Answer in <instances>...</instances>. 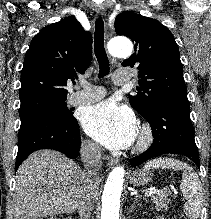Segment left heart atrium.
Returning a JSON list of instances; mask_svg holds the SVG:
<instances>
[{
    "instance_id": "left-heart-atrium-1",
    "label": "left heart atrium",
    "mask_w": 211,
    "mask_h": 219,
    "mask_svg": "<svg viewBox=\"0 0 211 219\" xmlns=\"http://www.w3.org/2000/svg\"><path fill=\"white\" fill-rule=\"evenodd\" d=\"M82 124L87 134L110 149L127 148L136 138L137 127L133 113L112 101L88 108Z\"/></svg>"
}]
</instances>
